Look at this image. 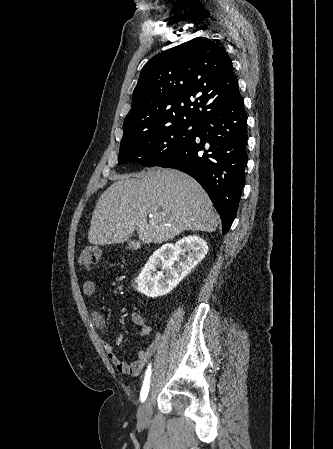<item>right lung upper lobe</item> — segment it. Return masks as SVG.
Masks as SVG:
<instances>
[{
    "mask_svg": "<svg viewBox=\"0 0 333 449\" xmlns=\"http://www.w3.org/2000/svg\"><path fill=\"white\" fill-rule=\"evenodd\" d=\"M239 95L225 49L197 37L154 56L143 67L122 141L171 121L199 123Z\"/></svg>",
    "mask_w": 333,
    "mask_h": 449,
    "instance_id": "1",
    "label": "right lung upper lobe"
}]
</instances>
